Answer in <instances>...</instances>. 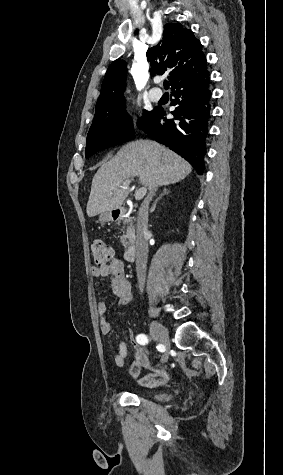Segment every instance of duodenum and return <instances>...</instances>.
Here are the masks:
<instances>
[{
	"label": "duodenum",
	"mask_w": 283,
	"mask_h": 475,
	"mask_svg": "<svg viewBox=\"0 0 283 475\" xmlns=\"http://www.w3.org/2000/svg\"><path fill=\"white\" fill-rule=\"evenodd\" d=\"M126 216H127V212L126 210H123V209L116 210L112 214V218L115 221L123 220L126 218ZM135 256H136V244L135 242H131L124 251V259L126 261L131 262L135 259Z\"/></svg>",
	"instance_id": "410a0bca"
}]
</instances>
